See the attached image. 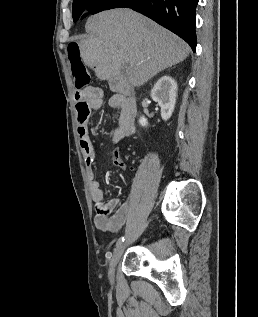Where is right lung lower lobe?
<instances>
[{"label":"right lung lower lobe","instance_id":"98d812e1","mask_svg":"<svg viewBox=\"0 0 258 317\" xmlns=\"http://www.w3.org/2000/svg\"><path fill=\"white\" fill-rule=\"evenodd\" d=\"M96 2V1H95ZM90 2L79 18L112 8H131L184 39L195 51L196 6L198 0H104Z\"/></svg>","mask_w":258,"mask_h":317}]
</instances>
